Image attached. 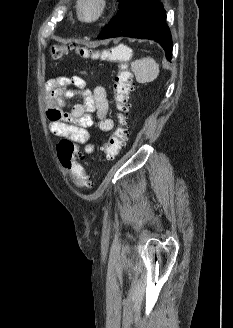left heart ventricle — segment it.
<instances>
[{
  "instance_id": "left-heart-ventricle-1",
  "label": "left heart ventricle",
  "mask_w": 233,
  "mask_h": 328,
  "mask_svg": "<svg viewBox=\"0 0 233 328\" xmlns=\"http://www.w3.org/2000/svg\"><path fill=\"white\" fill-rule=\"evenodd\" d=\"M84 9L85 16H91L96 10V4L94 3V0H87L84 5Z\"/></svg>"
}]
</instances>
